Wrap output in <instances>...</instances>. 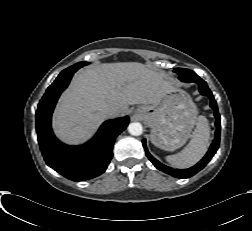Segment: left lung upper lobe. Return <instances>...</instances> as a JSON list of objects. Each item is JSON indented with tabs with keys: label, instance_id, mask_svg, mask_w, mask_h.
<instances>
[{
	"label": "left lung upper lobe",
	"instance_id": "5c2ea615",
	"mask_svg": "<svg viewBox=\"0 0 252 231\" xmlns=\"http://www.w3.org/2000/svg\"><path fill=\"white\" fill-rule=\"evenodd\" d=\"M174 71L179 75V79L182 81H185V79L189 76L193 77L196 74L193 71L185 68H176Z\"/></svg>",
	"mask_w": 252,
	"mask_h": 231
}]
</instances>
